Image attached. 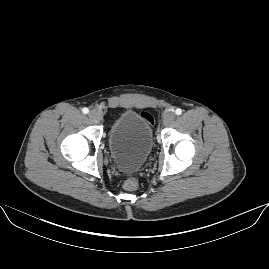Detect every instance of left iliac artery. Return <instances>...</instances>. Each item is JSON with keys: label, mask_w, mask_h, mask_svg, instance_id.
Returning <instances> with one entry per match:
<instances>
[{"label": "left iliac artery", "mask_w": 269, "mask_h": 269, "mask_svg": "<svg viewBox=\"0 0 269 269\" xmlns=\"http://www.w3.org/2000/svg\"><path fill=\"white\" fill-rule=\"evenodd\" d=\"M175 113L177 115H181L182 114V110L180 108H178V109L175 110Z\"/></svg>", "instance_id": "left-iliac-artery-1"}]
</instances>
